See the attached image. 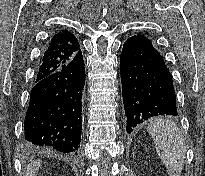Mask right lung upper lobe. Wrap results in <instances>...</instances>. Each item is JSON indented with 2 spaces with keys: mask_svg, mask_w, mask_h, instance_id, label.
Listing matches in <instances>:
<instances>
[{
  "mask_svg": "<svg viewBox=\"0 0 205 176\" xmlns=\"http://www.w3.org/2000/svg\"><path fill=\"white\" fill-rule=\"evenodd\" d=\"M80 51L75 35L69 31L55 34L44 51L37 71L36 80L59 70Z\"/></svg>",
  "mask_w": 205,
  "mask_h": 176,
  "instance_id": "1",
  "label": "right lung upper lobe"
}]
</instances>
